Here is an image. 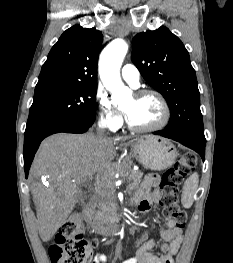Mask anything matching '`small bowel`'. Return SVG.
<instances>
[{
  "label": "small bowel",
  "mask_w": 233,
  "mask_h": 263,
  "mask_svg": "<svg viewBox=\"0 0 233 263\" xmlns=\"http://www.w3.org/2000/svg\"><path fill=\"white\" fill-rule=\"evenodd\" d=\"M159 184L160 180L157 175L150 174L145 177L142 189L137 192L133 201L140 212L146 213L152 204H160ZM165 222L166 228L161 231L160 254L153 252L159 241L151 239L144 243L134 256L121 263H174V255L182 243L183 232L182 228L178 227L173 220L166 219ZM106 261L107 258L104 254H96L92 263H106Z\"/></svg>",
  "instance_id": "obj_1"
}]
</instances>
